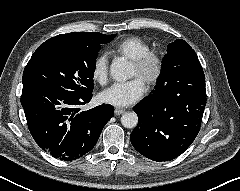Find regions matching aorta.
Here are the masks:
<instances>
[{
    "mask_svg": "<svg viewBox=\"0 0 240 191\" xmlns=\"http://www.w3.org/2000/svg\"><path fill=\"white\" fill-rule=\"evenodd\" d=\"M110 75L118 82L128 80L132 75V69L128 61L123 58L113 60L110 66ZM121 123L125 128L137 126L138 117L135 112H126L121 116Z\"/></svg>",
    "mask_w": 240,
    "mask_h": 191,
    "instance_id": "762f6f07",
    "label": "aorta"
}]
</instances>
